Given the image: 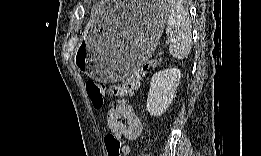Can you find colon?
I'll list each match as a JSON object with an SVG mask.
<instances>
[{"mask_svg":"<svg viewBox=\"0 0 261 156\" xmlns=\"http://www.w3.org/2000/svg\"><path fill=\"white\" fill-rule=\"evenodd\" d=\"M156 66V62H147L136 69L124 82L107 86L104 83L90 80L86 83V91L95 109H101L107 95H131L139 86L148 70ZM107 156H122L123 142L112 134H107L104 139Z\"/></svg>","mask_w":261,"mask_h":156,"instance_id":"obj_1","label":"colon"}]
</instances>
